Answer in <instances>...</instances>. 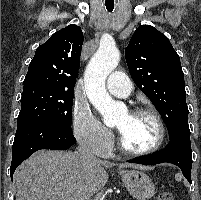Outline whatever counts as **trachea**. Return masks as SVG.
Segmentation results:
<instances>
[{
	"mask_svg": "<svg viewBox=\"0 0 201 200\" xmlns=\"http://www.w3.org/2000/svg\"><path fill=\"white\" fill-rule=\"evenodd\" d=\"M106 9L108 12H112L114 9V5L113 6L106 5Z\"/></svg>",
	"mask_w": 201,
	"mask_h": 200,
	"instance_id": "obj_1",
	"label": "trachea"
}]
</instances>
